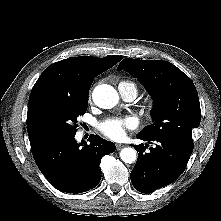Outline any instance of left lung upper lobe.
Listing matches in <instances>:
<instances>
[{
	"instance_id": "left-lung-upper-lobe-1",
	"label": "left lung upper lobe",
	"mask_w": 221,
	"mask_h": 221,
	"mask_svg": "<svg viewBox=\"0 0 221 221\" xmlns=\"http://www.w3.org/2000/svg\"><path fill=\"white\" fill-rule=\"evenodd\" d=\"M137 77L154 98L153 124L140 135L149 138H171L193 147L192 130L201 119L197 90L179 68L162 60L127 58L117 70Z\"/></svg>"
}]
</instances>
